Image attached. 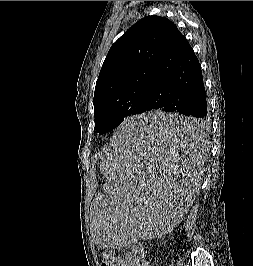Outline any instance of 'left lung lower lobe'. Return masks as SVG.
<instances>
[{
  "label": "left lung lower lobe",
  "mask_w": 253,
  "mask_h": 266,
  "mask_svg": "<svg viewBox=\"0 0 253 266\" xmlns=\"http://www.w3.org/2000/svg\"><path fill=\"white\" fill-rule=\"evenodd\" d=\"M154 109L184 114L193 119L154 125L147 132L173 138H197L206 127L208 111L201 67L178 29L158 60L147 92L144 112Z\"/></svg>",
  "instance_id": "0a47b994"
}]
</instances>
